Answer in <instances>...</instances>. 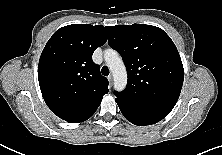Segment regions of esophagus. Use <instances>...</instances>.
<instances>
[{
	"mask_svg": "<svg viewBox=\"0 0 222 155\" xmlns=\"http://www.w3.org/2000/svg\"><path fill=\"white\" fill-rule=\"evenodd\" d=\"M108 81H109L110 84L113 83V76L112 75L108 76Z\"/></svg>",
	"mask_w": 222,
	"mask_h": 155,
	"instance_id": "obj_1",
	"label": "esophagus"
}]
</instances>
